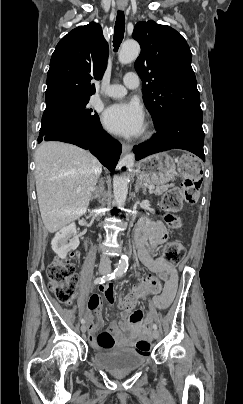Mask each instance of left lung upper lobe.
I'll return each instance as SVG.
<instances>
[{"label": "left lung upper lobe", "instance_id": "obj_1", "mask_svg": "<svg viewBox=\"0 0 243 404\" xmlns=\"http://www.w3.org/2000/svg\"><path fill=\"white\" fill-rule=\"evenodd\" d=\"M132 37L141 46L134 66L143 80L144 103L155 126L175 110H201L192 54L183 36L150 20L137 23Z\"/></svg>", "mask_w": 243, "mask_h": 404}]
</instances>
